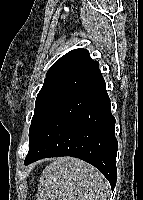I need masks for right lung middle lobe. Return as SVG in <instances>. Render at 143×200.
Masks as SVG:
<instances>
[{"instance_id":"1","label":"right lung middle lobe","mask_w":143,"mask_h":200,"mask_svg":"<svg viewBox=\"0 0 143 200\" xmlns=\"http://www.w3.org/2000/svg\"><path fill=\"white\" fill-rule=\"evenodd\" d=\"M63 79L61 78H50L45 79L44 85L41 88L40 92L37 95L36 102H35V112L38 110L40 105L43 103V101L47 98V96L51 93V91L57 87Z\"/></svg>"}]
</instances>
